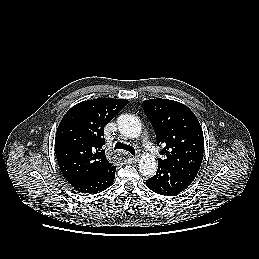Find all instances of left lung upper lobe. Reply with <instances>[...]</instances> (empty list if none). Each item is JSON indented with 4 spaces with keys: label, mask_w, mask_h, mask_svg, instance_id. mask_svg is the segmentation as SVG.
<instances>
[{
    "label": "left lung upper lobe",
    "mask_w": 259,
    "mask_h": 259,
    "mask_svg": "<svg viewBox=\"0 0 259 259\" xmlns=\"http://www.w3.org/2000/svg\"><path fill=\"white\" fill-rule=\"evenodd\" d=\"M143 108L156 132L164 159L158 164L167 167L188 182H192L202 163L204 137L195 114L184 104L168 99H151Z\"/></svg>",
    "instance_id": "5c2ea615"
}]
</instances>
